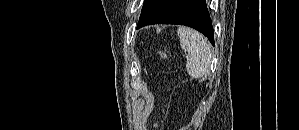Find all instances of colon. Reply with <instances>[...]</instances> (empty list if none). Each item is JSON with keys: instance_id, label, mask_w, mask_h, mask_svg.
<instances>
[{"instance_id": "1", "label": "colon", "mask_w": 299, "mask_h": 130, "mask_svg": "<svg viewBox=\"0 0 299 130\" xmlns=\"http://www.w3.org/2000/svg\"><path fill=\"white\" fill-rule=\"evenodd\" d=\"M157 54H158V56L160 57V58H162V59H165L166 57H165V55L162 53V52H157ZM170 104H169V102H168V106H167V110H166V113H165V120H168V117H169V113H170Z\"/></svg>"}]
</instances>
